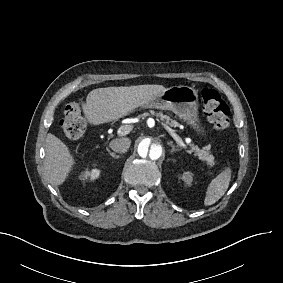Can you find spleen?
I'll return each mask as SVG.
<instances>
[{
  "label": "spleen",
  "instance_id": "3e777b00",
  "mask_svg": "<svg viewBox=\"0 0 283 283\" xmlns=\"http://www.w3.org/2000/svg\"><path fill=\"white\" fill-rule=\"evenodd\" d=\"M232 170L230 167L224 168L207 186L204 206L215 204L227 191L231 181Z\"/></svg>",
  "mask_w": 283,
  "mask_h": 283
}]
</instances>
